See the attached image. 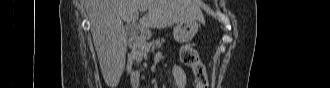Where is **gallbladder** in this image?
Segmentation results:
<instances>
[{"instance_id": "bac80fb5", "label": "gallbladder", "mask_w": 330, "mask_h": 88, "mask_svg": "<svg viewBox=\"0 0 330 88\" xmlns=\"http://www.w3.org/2000/svg\"><path fill=\"white\" fill-rule=\"evenodd\" d=\"M126 29L129 35H131L134 31V25L133 24H127Z\"/></svg>"}]
</instances>
